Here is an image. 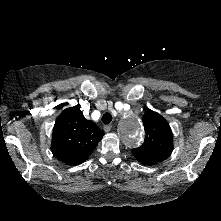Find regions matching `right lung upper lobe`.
<instances>
[{"label":"right lung upper lobe","mask_w":221,"mask_h":221,"mask_svg":"<svg viewBox=\"0 0 221 221\" xmlns=\"http://www.w3.org/2000/svg\"><path fill=\"white\" fill-rule=\"evenodd\" d=\"M104 136L98 126L86 120L78 106L65 109L57 118L52 135L51 150L64 163L84 162Z\"/></svg>","instance_id":"1"}]
</instances>
